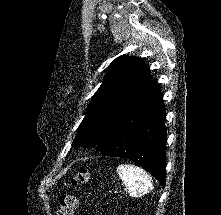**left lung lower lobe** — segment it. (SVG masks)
I'll return each instance as SVG.
<instances>
[{"label": "left lung lower lobe", "instance_id": "0a47b994", "mask_svg": "<svg viewBox=\"0 0 221 215\" xmlns=\"http://www.w3.org/2000/svg\"><path fill=\"white\" fill-rule=\"evenodd\" d=\"M165 107L153 81L148 90L118 122L103 151L104 156L128 158L165 185Z\"/></svg>", "mask_w": 221, "mask_h": 215}]
</instances>
